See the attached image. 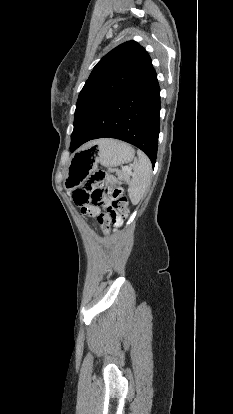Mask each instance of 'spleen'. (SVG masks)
<instances>
[{
	"label": "spleen",
	"instance_id": "1",
	"mask_svg": "<svg viewBox=\"0 0 233 414\" xmlns=\"http://www.w3.org/2000/svg\"><path fill=\"white\" fill-rule=\"evenodd\" d=\"M138 159H135L132 168L133 175L128 188L129 198L133 205H137L145 196L152 176V165L149 158L140 150L137 151Z\"/></svg>",
	"mask_w": 233,
	"mask_h": 414
}]
</instances>
